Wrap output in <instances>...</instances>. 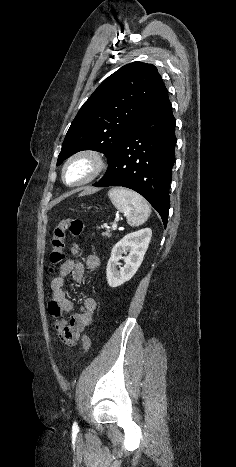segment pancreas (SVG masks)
Returning a JSON list of instances; mask_svg holds the SVG:
<instances>
[{
	"label": "pancreas",
	"instance_id": "cf45deb5",
	"mask_svg": "<svg viewBox=\"0 0 236 467\" xmlns=\"http://www.w3.org/2000/svg\"><path fill=\"white\" fill-rule=\"evenodd\" d=\"M102 236H105V237L109 238V237H111V234L109 232H104V233H102Z\"/></svg>",
	"mask_w": 236,
	"mask_h": 467
}]
</instances>
